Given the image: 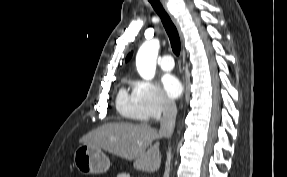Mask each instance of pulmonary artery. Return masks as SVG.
I'll return each mask as SVG.
<instances>
[{
  "label": "pulmonary artery",
  "instance_id": "1",
  "mask_svg": "<svg viewBox=\"0 0 287 177\" xmlns=\"http://www.w3.org/2000/svg\"><path fill=\"white\" fill-rule=\"evenodd\" d=\"M160 66L165 71H170L174 67L173 57L170 54H165L160 62Z\"/></svg>",
  "mask_w": 287,
  "mask_h": 177
}]
</instances>
